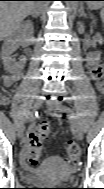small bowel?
<instances>
[{"instance_id":"c3829d8e","label":"small bowel","mask_w":104,"mask_h":189,"mask_svg":"<svg viewBox=\"0 0 104 189\" xmlns=\"http://www.w3.org/2000/svg\"><path fill=\"white\" fill-rule=\"evenodd\" d=\"M95 68L96 67H93L91 69V71H90L91 78L93 79L96 88L98 90H102L103 89L102 76L101 77H97L94 74L93 71H94ZM20 78H21V73H14V74H9V75H4L2 77V83H3L4 86L10 87L15 82H17ZM1 101H2L3 104H7L9 102V98L8 97H2ZM32 135H33V131L30 130L29 133H28L27 139H26V143H25V145L23 147V152H22L23 157L26 156V153H27V151L29 149V143H30Z\"/></svg>"}]
</instances>
